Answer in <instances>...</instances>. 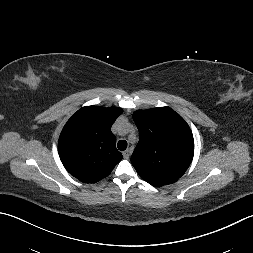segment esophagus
Wrapping results in <instances>:
<instances>
[{
  "mask_svg": "<svg viewBox=\"0 0 253 253\" xmlns=\"http://www.w3.org/2000/svg\"><path fill=\"white\" fill-rule=\"evenodd\" d=\"M130 154H131V151H130V150H125V151L123 152V157H124V159H129Z\"/></svg>",
  "mask_w": 253,
  "mask_h": 253,
  "instance_id": "1",
  "label": "esophagus"
}]
</instances>
